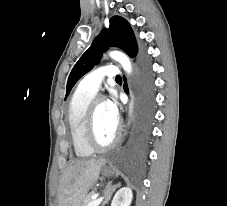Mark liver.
<instances>
[{"label": "liver", "instance_id": "liver-1", "mask_svg": "<svg viewBox=\"0 0 227 206\" xmlns=\"http://www.w3.org/2000/svg\"><path fill=\"white\" fill-rule=\"evenodd\" d=\"M104 162V159H89L69 165L58 187V206H81L88 190L99 178Z\"/></svg>", "mask_w": 227, "mask_h": 206}]
</instances>
